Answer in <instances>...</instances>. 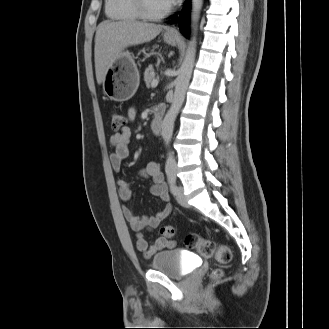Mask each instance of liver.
<instances>
[{
	"instance_id": "1",
	"label": "liver",
	"mask_w": 329,
	"mask_h": 329,
	"mask_svg": "<svg viewBox=\"0 0 329 329\" xmlns=\"http://www.w3.org/2000/svg\"><path fill=\"white\" fill-rule=\"evenodd\" d=\"M162 30L161 25L139 21H103L95 36V71L97 83L104 80L108 68L126 47L154 39Z\"/></svg>"
}]
</instances>
